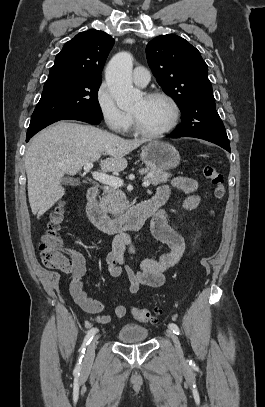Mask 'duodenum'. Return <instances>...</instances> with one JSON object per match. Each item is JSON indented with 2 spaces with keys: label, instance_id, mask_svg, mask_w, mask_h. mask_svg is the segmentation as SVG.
<instances>
[{
  "label": "duodenum",
  "instance_id": "410a0bca",
  "mask_svg": "<svg viewBox=\"0 0 265 407\" xmlns=\"http://www.w3.org/2000/svg\"><path fill=\"white\" fill-rule=\"evenodd\" d=\"M97 192L96 186L87 191L86 212L92 224L107 234L141 228L144 222L165 204L164 199L154 197L131 207L119 218H110L97 202Z\"/></svg>",
  "mask_w": 265,
  "mask_h": 407
}]
</instances>
